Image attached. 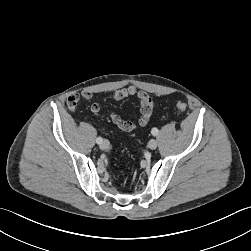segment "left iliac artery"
<instances>
[{"label": "left iliac artery", "mask_w": 251, "mask_h": 251, "mask_svg": "<svg viewBox=\"0 0 251 251\" xmlns=\"http://www.w3.org/2000/svg\"><path fill=\"white\" fill-rule=\"evenodd\" d=\"M158 129L157 128H153L152 130H151V133H152V135L153 136H156V135H158Z\"/></svg>", "instance_id": "44dca946"}]
</instances>
